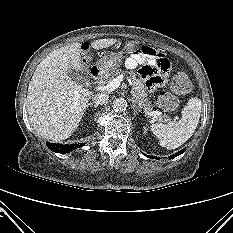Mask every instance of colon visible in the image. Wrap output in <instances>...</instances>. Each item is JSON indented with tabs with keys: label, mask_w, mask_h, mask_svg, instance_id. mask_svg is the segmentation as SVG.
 <instances>
[{
	"label": "colon",
	"mask_w": 233,
	"mask_h": 233,
	"mask_svg": "<svg viewBox=\"0 0 233 233\" xmlns=\"http://www.w3.org/2000/svg\"><path fill=\"white\" fill-rule=\"evenodd\" d=\"M172 90L177 94H185L191 89V82L183 70H177L171 82ZM159 105L165 110H173L179 105L178 99L169 92H162L159 96Z\"/></svg>",
	"instance_id": "colon-1"
}]
</instances>
